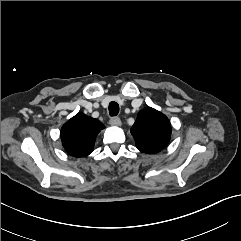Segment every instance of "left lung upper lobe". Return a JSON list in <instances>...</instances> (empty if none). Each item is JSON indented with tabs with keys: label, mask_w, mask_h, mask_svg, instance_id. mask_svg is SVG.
<instances>
[{
	"label": "left lung upper lobe",
	"mask_w": 241,
	"mask_h": 241,
	"mask_svg": "<svg viewBox=\"0 0 241 241\" xmlns=\"http://www.w3.org/2000/svg\"><path fill=\"white\" fill-rule=\"evenodd\" d=\"M131 133L138 150L146 154H154L160 152L169 143L171 125L164 114L147 107L138 113Z\"/></svg>",
	"instance_id": "left-lung-upper-lobe-1"
}]
</instances>
